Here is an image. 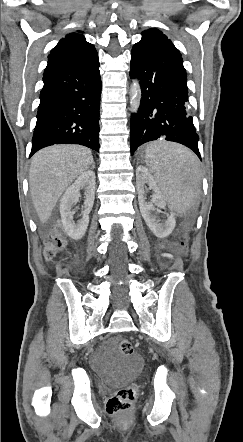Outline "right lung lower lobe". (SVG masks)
I'll return each instance as SVG.
<instances>
[{
  "label": "right lung lower lobe",
  "instance_id": "98d812e1",
  "mask_svg": "<svg viewBox=\"0 0 243 442\" xmlns=\"http://www.w3.org/2000/svg\"><path fill=\"white\" fill-rule=\"evenodd\" d=\"M30 157L54 144L99 152L101 78L97 52L45 69Z\"/></svg>",
  "mask_w": 243,
  "mask_h": 442
}]
</instances>
